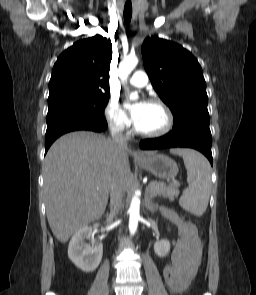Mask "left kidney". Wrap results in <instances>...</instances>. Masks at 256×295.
Returning a JSON list of instances; mask_svg holds the SVG:
<instances>
[{"instance_id":"5707ae66","label":"left kidney","mask_w":256,"mask_h":295,"mask_svg":"<svg viewBox=\"0 0 256 295\" xmlns=\"http://www.w3.org/2000/svg\"><path fill=\"white\" fill-rule=\"evenodd\" d=\"M154 251L159 257H165L170 251V242L166 239L156 241Z\"/></svg>"}]
</instances>
